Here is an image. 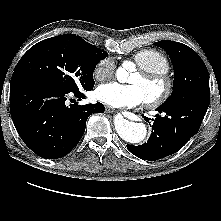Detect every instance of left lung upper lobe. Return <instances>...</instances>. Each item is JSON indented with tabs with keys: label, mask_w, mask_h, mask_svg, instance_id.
<instances>
[{
	"label": "left lung upper lobe",
	"mask_w": 221,
	"mask_h": 221,
	"mask_svg": "<svg viewBox=\"0 0 221 221\" xmlns=\"http://www.w3.org/2000/svg\"><path fill=\"white\" fill-rule=\"evenodd\" d=\"M155 45L169 55L175 73L172 95L162 105L189 102L210 96L208 70L193 49L170 40L158 41Z\"/></svg>",
	"instance_id": "1"
}]
</instances>
